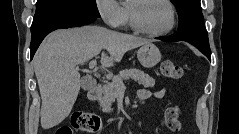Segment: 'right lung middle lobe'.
Here are the masks:
<instances>
[{"label":"right lung middle lobe","mask_w":239,"mask_h":134,"mask_svg":"<svg viewBox=\"0 0 239 134\" xmlns=\"http://www.w3.org/2000/svg\"><path fill=\"white\" fill-rule=\"evenodd\" d=\"M63 13H80L100 17L96 0H37L31 30L47 19Z\"/></svg>","instance_id":"1"}]
</instances>
